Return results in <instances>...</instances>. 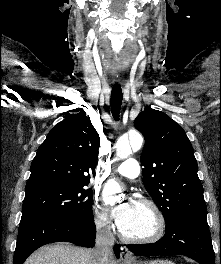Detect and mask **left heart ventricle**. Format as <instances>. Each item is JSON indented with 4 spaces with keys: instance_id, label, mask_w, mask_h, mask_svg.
I'll return each mask as SVG.
<instances>
[{
    "instance_id": "left-heart-ventricle-1",
    "label": "left heart ventricle",
    "mask_w": 221,
    "mask_h": 264,
    "mask_svg": "<svg viewBox=\"0 0 221 264\" xmlns=\"http://www.w3.org/2000/svg\"><path fill=\"white\" fill-rule=\"evenodd\" d=\"M121 230L130 237H147L155 232L156 219L149 207L134 202L132 215Z\"/></svg>"
}]
</instances>
